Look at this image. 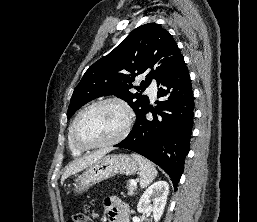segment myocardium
Listing matches in <instances>:
<instances>
[{"label":"myocardium","instance_id":"1","mask_svg":"<svg viewBox=\"0 0 257 222\" xmlns=\"http://www.w3.org/2000/svg\"><path fill=\"white\" fill-rule=\"evenodd\" d=\"M104 104H115V105L119 106L120 108H122V110L125 113V123H124L123 129L120 131V133L117 136H115L114 138H112L108 141H105V142H101V143H97V144H86V143L81 142L77 138V135H76V129H77L79 121L88 111H90L91 109H93L97 106L104 105ZM132 122H133L132 109L125 100L118 98V97L103 98V99H100L98 101L91 103L76 116V118L73 121V124L71 126V130H70L71 140H72V143L78 149H81L83 151L113 146V145L120 143L122 140H124L127 137V135L130 132Z\"/></svg>","mask_w":257,"mask_h":222}]
</instances>
